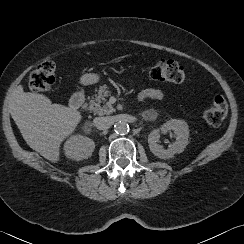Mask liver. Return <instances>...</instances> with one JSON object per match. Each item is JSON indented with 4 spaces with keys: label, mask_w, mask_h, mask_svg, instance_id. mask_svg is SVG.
<instances>
[{
    "label": "liver",
    "mask_w": 244,
    "mask_h": 244,
    "mask_svg": "<svg viewBox=\"0 0 244 244\" xmlns=\"http://www.w3.org/2000/svg\"><path fill=\"white\" fill-rule=\"evenodd\" d=\"M10 113L26 143L54 163L59 161L61 142L82 118L75 108L52 104L45 95L24 92L21 86L10 100Z\"/></svg>",
    "instance_id": "obj_1"
}]
</instances>
